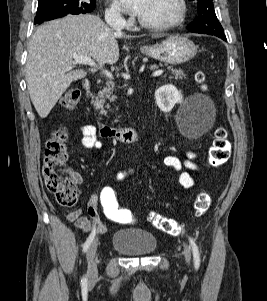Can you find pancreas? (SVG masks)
Masks as SVG:
<instances>
[{
	"instance_id": "1",
	"label": "pancreas",
	"mask_w": 267,
	"mask_h": 301,
	"mask_svg": "<svg viewBox=\"0 0 267 301\" xmlns=\"http://www.w3.org/2000/svg\"><path fill=\"white\" fill-rule=\"evenodd\" d=\"M150 68H158V66L154 64L150 66ZM168 69L171 70L172 78L176 80L183 79V77L185 78L186 76L181 69H173L172 67H168ZM113 91L114 85L111 83H106V86L102 90H100L95 97L94 105L98 106L102 111L104 107L109 108L110 104L106 101H114L116 99V96L113 95Z\"/></svg>"
}]
</instances>
